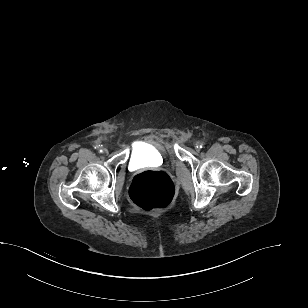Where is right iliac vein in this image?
<instances>
[{"mask_svg": "<svg viewBox=\"0 0 308 308\" xmlns=\"http://www.w3.org/2000/svg\"><path fill=\"white\" fill-rule=\"evenodd\" d=\"M103 153L107 154L108 153V150L107 149H103Z\"/></svg>", "mask_w": 308, "mask_h": 308, "instance_id": "63e3f726", "label": "right iliac vein"}]
</instances>
